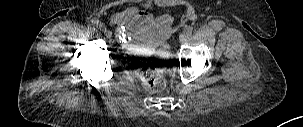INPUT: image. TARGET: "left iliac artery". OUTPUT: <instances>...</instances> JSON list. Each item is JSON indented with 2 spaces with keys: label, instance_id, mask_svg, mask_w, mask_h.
<instances>
[{
  "label": "left iliac artery",
  "instance_id": "1",
  "mask_svg": "<svg viewBox=\"0 0 303 127\" xmlns=\"http://www.w3.org/2000/svg\"><path fill=\"white\" fill-rule=\"evenodd\" d=\"M182 35L186 38V40H188V41L192 40V34L190 31L185 30Z\"/></svg>",
  "mask_w": 303,
  "mask_h": 127
}]
</instances>
